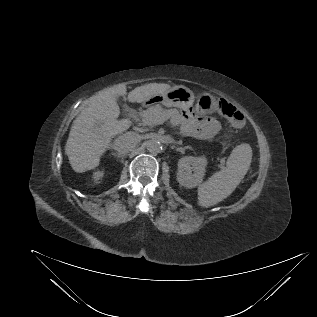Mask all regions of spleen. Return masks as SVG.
<instances>
[{
    "label": "spleen",
    "mask_w": 317,
    "mask_h": 317,
    "mask_svg": "<svg viewBox=\"0 0 317 317\" xmlns=\"http://www.w3.org/2000/svg\"><path fill=\"white\" fill-rule=\"evenodd\" d=\"M252 160L249 144L235 147L226 166L198 187V204L213 206L228 197L246 175Z\"/></svg>",
    "instance_id": "1"
}]
</instances>
